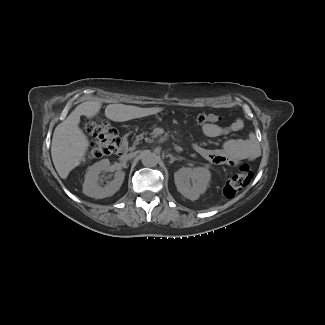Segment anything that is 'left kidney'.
I'll return each instance as SVG.
<instances>
[{
	"instance_id": "5707ae66",
	"label": "left kidney",
	"mask_w": 325,
	"mask_h": 325,
	"mask_svg": "<svg viewBox=\"0 0 325 325\" xmlns=\"http://www.w3.org/2000/svg\"><path fill=\"white\" fill-rule=\"evenodd\" d=\"M177 190L189 200H197L207 190L211 172L206 167L180 168L174 174Z\"/></svg>"
}]
</instances>
